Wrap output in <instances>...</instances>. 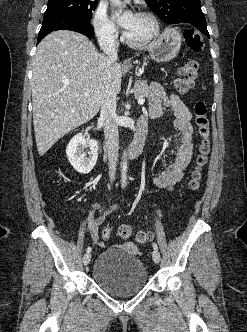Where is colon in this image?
Segmentation results:
<instances>
[{
	"instance_id": "5ec220e1",
	"label": "colon",
	"mask_w": 247,
	"mask_h": 332,
	"mask_svg": "<svg viewBox=\"0 0 247 332\" xmlns=\"http://www.w3.org/2000/svg\"><path fill=\"white\" fill-rule=\"evenodd\" d=\"M184 39L189 49L193 52H200L203 49V38L198 31L194 29L186 30L184 33ZM197 76V62H186L178 69V77L174 82L176 90L181 94L189 92L194 87ZM194 122L200 142L198 145V153L195 159L194 169L189 181V187L191 190L196 191L200 187L202 170L207 164L210 153V127L207 116V106L203 101L196 102L194 106ZM111 234L112 231L109 228H105L102 231V237L105 240H109ZM118 235L123 239L129 238L132 235L131 227L128 225H121L118 228ZM152 237L153 235L151 232L144 230L138 231L135 235L136 241L141 244L149 242Z\"/></svg>"
}]
</instances>
